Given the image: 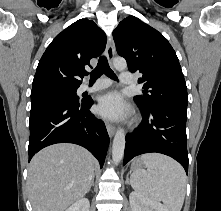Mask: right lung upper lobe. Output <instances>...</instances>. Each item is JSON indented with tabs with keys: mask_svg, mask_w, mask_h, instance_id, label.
Instances as JSON below:
<instances>
[{
	"mask_svg": "<svg viewBox=\"0 0 221 211\" xmlns=\"http://www.w3.org/2000/svg\"><path fill=\"white\" fill-rule=\"evenodd\" d=\"M106 35L92 21L80 19L59 33L41 57L32 91L78 88L85 66L105 49Z\"/></svg>",
	"mask_w": 221,
	"mask_h": 211,
	"instance_id": "right-lung-upper-lobe-1",
	"label": "right lung upper lobe"
}]
</instances>
